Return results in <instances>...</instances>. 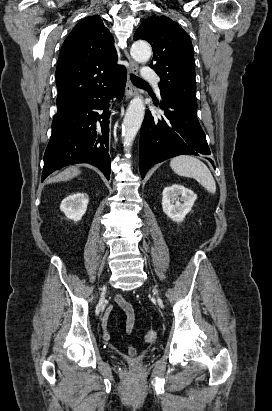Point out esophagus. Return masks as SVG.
Instances as JSON below:
<instances>
[{"mask_svg": "<svg viewBox=\"0 0 272 411\" xmlns=\"http://www.w3.org/2000/svg\"><path fill=\"white\" fill-rule=\"evenodd\" d=\"M124 53H125V56L127 57L128 61H129V73L130 74H137L138 73V65L131 59V57H130L127 50H125ZM135 94H136V87L131 82L130 78L128 77L127 82H126V87H125L126 100H129Z\"/></svg>", "mask_w": 272, "mask_h": 411, "instance_id": "obj_1", "label": "esophagus"}]
</instances>
